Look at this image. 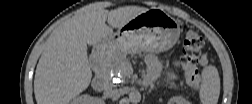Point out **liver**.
I'll return each mask as SVG.
<instances>
[{
  "mask_svg": "<svg viewBox=\"0 0 252 104\" xmlns=\"http://www.w3.org/2000/svg\"><path fill=\"white\" fill-rule=\"evenodd\" d=\"M147 10L126 6L108 11L92 4L61 24L48 38L36 67V102L67 104L87 89L92 78L87 45H97L113 35V28H121Z\"/></svg>",
  "mask_w": 252,
  "mask_h": 104,
  "instance_id": "6515ba94",
  "label": "liver"
}]
</instances>
